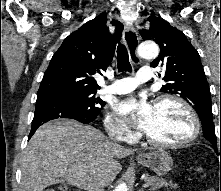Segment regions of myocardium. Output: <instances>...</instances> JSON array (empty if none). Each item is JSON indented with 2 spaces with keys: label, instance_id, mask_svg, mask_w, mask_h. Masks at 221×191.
<instances>
[{
  "label": "myocardium",
  "instance_id": "obj_1",
  "mask_svg": "<svg viewBox=\"0 0 221 191\" xmlns=\"http://www.w3.org/2000/svg\"><path fill=\"white\" fill-rule=\"evenodd\" d=\"M167 101L174 102L186 110L192 123V129H191L190 134L187 137L183 138L182 140L175 141V142L155 140L152 137H150L147 133H145V139L149 144L156 146V147H161V148H180V147L186 146L190 144L191 142L195 141L200 134L201 122H200L199 116L196 110L193 108V106L190 103H188L183 98L177 95H173V94H162L158 96L155 100L154 105L158 106L161 103L167 102Z\"/></svg>",
  "mask_w": 221,
  "mask_h": 191
}]
</instances>
